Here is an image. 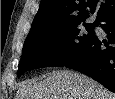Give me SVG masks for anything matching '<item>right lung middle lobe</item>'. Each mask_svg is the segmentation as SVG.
<instances>
[{"label":"right lung middle lobe","mask_w":115,"mask_h":99,"mask_svg":"<svg viewBox=\"0 0 115 99\" xmlns=\"http://www.w3.org/2000/svg\"><path fill=\"white\" fill-rule=\"evenodd\" d=\"M78 23L59 30L27 37L22 59L18 65V77L24 72L41 67H63L75 60L95 38L92 29L98 23Z\"/></svg>","instance_id":"dd1d6c3e"}]
</instances>
